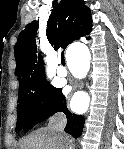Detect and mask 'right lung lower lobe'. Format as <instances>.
I'll return each instance as SVG.
<instances>
[{"label":"right lung lower lobe","instance_id":"right-lung-lower-lobe-1","mask_svg":"<svg viewBox=\"0 0 124 149\" xmlns=\"http://www.w3.org/2000/svg\"><path fill=\"white\" fill-rule=\"evenodd\" d=\"M56 112H63L67 117V125L65 132L72 135L74 138H78L84 126V117L81 115L72 114L67 106L65 96L61 93L60 89H57L51 98V103L48 108L39 114L31 116L24 125V132L29 131L35 124L40 121H44Z\"/></svg>","mask_w":124,"mask_h":149}]
</instances>
